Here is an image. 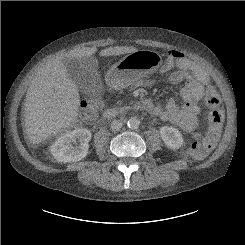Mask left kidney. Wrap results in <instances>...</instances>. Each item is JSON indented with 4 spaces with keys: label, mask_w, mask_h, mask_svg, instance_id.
Segmentation results:
<instances>
[{
    "label": "left kidney",
    "mask_w": 245,
    "mask_h": 245,
    "mask_svg": "<svg viewBox=\"0 0 245 245\" xmlns=\"http://www.w3.org/2000/svg\"><path fill=\"white\" fill-rule=\"evenodd\" d=\"M160 136L165 145L170 149H178L183 144L180 131L174 127L163 126L160 128Z\"/></svg>",
    "instance_id": "1"
}]
</instances>
